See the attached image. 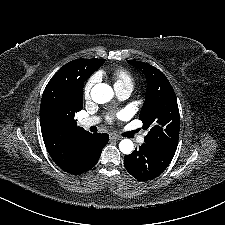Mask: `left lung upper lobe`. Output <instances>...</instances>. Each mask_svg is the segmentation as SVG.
I'll return each instance as SVG.
<instances>
[{
	"label": "left lung upper lobe",
	"mask_w": 225,
	"mask_h": 225,
	"mask_svg": "<svg viewBox=\"0 0 225 225\" xmlns=\"http://www.w3.org/2000/svg\"><path fill=\"white\" fill-rule=\"evenodd\" d=\"M143 71L147 80L145 101L139 115L143 128L148 130L145 143L176 150L179 139L180 116L175 92L166 76L145 62L127 61Z\"/></svg>",
	"instance_id": "5c2ea615"
}]
</instances>
